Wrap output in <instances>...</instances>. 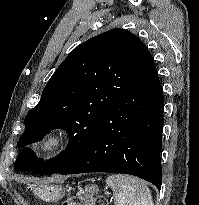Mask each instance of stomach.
Segmentation results:
<instances>
[{"label": "stomach", "instance_id": "0dacf381", "mask_svg": "<svg viewBox=\"0 0 199 205\" xmlns=\"http://www.w3.org/2000/svg\"><path fill=\"white\" fill-rule=\"evenodd\" d=\"M36 196L46 202H56L62 199L66 194H70V188H64L61 185H34L32 187ZM99 188L96 184L92 183L86 185L84 188H79L78 195L80 196H93L97 194Z\"/></svg>", "mask_w": 199, "mask_h": 205}]
</instances>
